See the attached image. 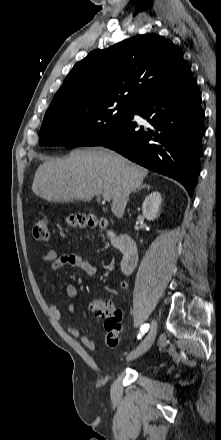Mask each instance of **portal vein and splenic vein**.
<instances>
[{"label": "portal vein and splenic vein", "mask_w": 221, "mask_h": 440, "mask_svg": "<svg viewBox=\"0 0 221 440\" xmlns=\"http://www.w3.org/2000/svg\"><path fill=\"white\" fill-rule=\"evenodd\" d=\"M104 201H110L111 200V194L109 192H105L102 194Z\"/></svg>", "instance_id": "obj_1"}]
</instances>
